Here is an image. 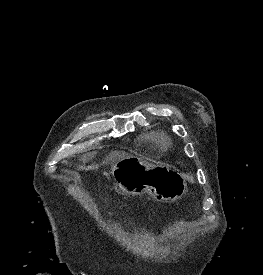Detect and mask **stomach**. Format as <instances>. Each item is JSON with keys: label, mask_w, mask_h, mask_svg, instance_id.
I'll return each mask as SVG.
<instances>
[{"label": "stomach", "mask_w": 263, "mask_h": 275, "mask_svg": "<svg viewBox=\"0 0 263 275\" xmlns=\"http://www.w3.org/2000/svg\"><path fill=\"white\" fill-rule=\"evenodd\" d=\"M111 175L113 189L126 196L147 193L156 201L171 202L181 198L187 189L180 172L132 155L117 161Z\"/></svg>", "instance_id": "obj_1"}]
</instances>
